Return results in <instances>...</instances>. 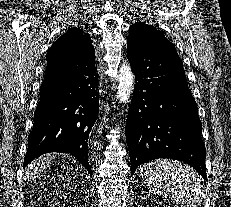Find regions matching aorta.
I'll return each instance as SVG.
<instances>
[{"mask_svg": "<svg viewBox=\"0 0 231 207\" xmlns=\"http://www.w3.org/2000/svg\"><path fill=\"white\" fill-rule=\"evenodd\" d=\"M134 74L127 63L122 64L118 75V95L117 98L122 102L129 100L134 87Z\"/></svg>", "mask_w": 231, "mask_h": 207, "instance_id": "762f6f07", "label": "aorta"}]
</instances>
